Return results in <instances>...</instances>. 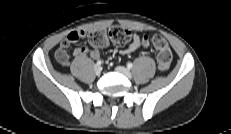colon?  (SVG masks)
<instances>
[{"instance_id":"colon-1","label":"colon","mask_w":231,"mask_h":134,"mask_svg":"<svg viewBox=\"0 0 231 134\" xmlns=\"http://www.w3.org/2000/svg\"><path fill=\"white\" fill-rule=\"evenodd\" d=\"M131 39V32L119 25L110 27L108 30L92 31L88 35V40L94 47H103L109 41L118 44H125ZM152 43L157 51V63L161 71L169 69L172 61V52L167 41L160 35L152 37Z\"/></svg>"}]
</instances>
